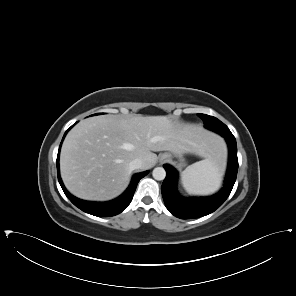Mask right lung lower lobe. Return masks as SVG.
Here are the masks:
<instances>
[{"instance_id": "right-lung-lower-lobe-1", "label": "right lung lower lobe", "mask_w": 296, "mask_h": 296, "mask_svg": "<svg viewBox=\"0 0 296 296\" xmlns=\"http://www.w3.org/2000/svg\"><path fill=\"white\" fill-rule=\"evenodd\" d=\"M68 130L65 132L64 137H65L66 133L68 132ZM64 137H63V139H64ZM60 147H61V144H60ZM56 163H57V171H58V180H59V183H60L65 195L68 197V199L76 207H78L82 211H84L88 214L94 215V216H98V217L114 216V215L121 213L125 208H127V206L130 204V202L133 198L134 192L137 187V183L139 182V180L141 178H143L148 173V171H145V172L136 174L133 177L131 184L129 185L127 190L121 196H119L118 198H116L112 201L102 202V203L101 202H89V201H84V200L74 197L64 187L62 180L60 178V175H59V152H58Z\"/></svg>"}]
</instances>
